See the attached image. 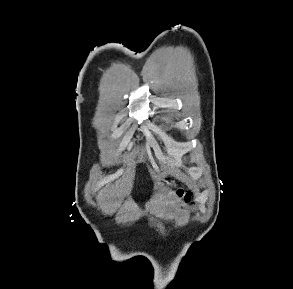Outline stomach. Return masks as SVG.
Returning a JSON list of instances; mask_svg holds the SVG:
<instances>
[{
  "label": "stomach",
  "instance_id": "obj_1",
  "mask_svg": "<svg viewBox=\"0 0 293 289\" xmlns=\"http://www.w3.org/2000/svg\"><path fill=\"white\" fill-rule=\"evenodd\" d=\"M165 185H170V183L166 181V184L163 183L162 186L165 187Z\"/></svg>",
  "mask_w": 293,
  "mask_h": 289
}]
</instances>
